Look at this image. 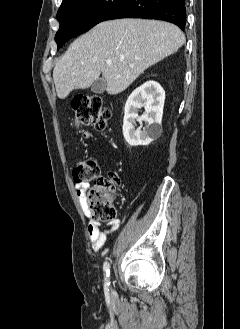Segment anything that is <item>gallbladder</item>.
<instances>
[{"mask_svg": "<svg viewBox=\"0 0 240 329\" xmlns=\"http://www.w3.org/2000/svg\"><path fill=\"white\" fill-rule=\"evenodd\" d=\"M106 90V81L103 78H99L91 85V91L97 94H101Z\"/></svg>", "mask_w": 240, "mask_h": 329, "instance_id": "1", "label": "gallbladder"}]
</instances>
